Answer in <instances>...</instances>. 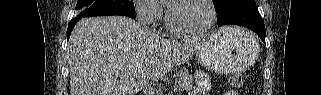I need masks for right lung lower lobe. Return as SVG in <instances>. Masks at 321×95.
<instances>
[{
	"label": "right lung lower lobe",
	"instance_id": "98d812e1",
	"mask_svg": "<svg viewBox=\"0 0 321 95\" xmlns=\"http://www.w3.org/2000/svg\"><path fill=\"white\" fill-rule=\"evenodd\" d=\"M79 20L80 19H78V18H74L70 21V23L68 25V29H67V39H69L72 29L74 28L76 22Z\"/></svg>",
	"mask_w": 321,
	"mask_h": 95
}]
</instances>
